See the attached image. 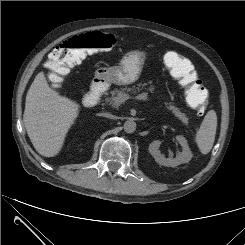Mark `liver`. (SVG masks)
<instances>
[{"label":"liver","mask_w":245,"mask_h":245,"mask_svg":"<svg viewBox=\"0 0 245 245\" xmlns=\"http://www.w3.org/2000/svg\"><path fill=\"white\" fill-rule=\"evenodd\" d=\"M78 113L79 104L49 87L43 71L36 75L26 95L23 121L40 155L59 153Z\"/></svg>","instance_id":"liver-1"}]
</instances>
